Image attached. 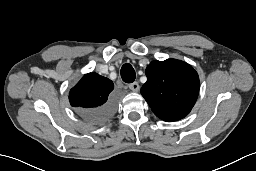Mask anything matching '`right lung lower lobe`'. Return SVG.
Segmentation results:
<instances>
[{"mask_svg": "<svg viewBox=\"0 0 256 171\" xmlns=\"http://www.w3.org/2000/svg\"><path fill=\"white\" fill-rule=\"evenodd\" d=\"M115 107V100L112 98L104 106L86 112L83 117L90 123H103L112 116Z\"/></svg>", "mask_w": 256, "mask_h": 171, "instance_id": "obj_1", "label": "right lung lower lobe"}]
</instances>
